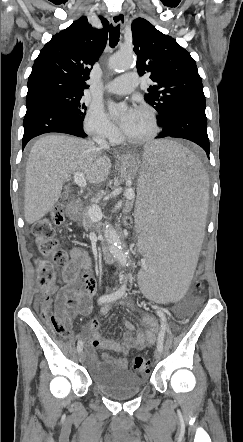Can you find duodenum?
<instances>
[{
    "label": "duodenum",
    "instance_id": "1",
    "mask_svg": "<svg viewBox=\"0 0 243 442\" xmlns=\"http://www.w3.org/2000/svg\"><path fill=\"white\" fill-rule=\"evenodd\" d=\"M79 205H80V201L78 199L71 200L69 203V207H68V213L76 214ZM102 257L105 261H112L113 260L111 248L108 245H105L103 247Z\"/></svg>",
    "mask_w": 243,
    "mask_h": 442
}]
</instances>
